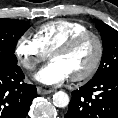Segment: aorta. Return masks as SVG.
<instances>
[{"label": "aorta", "instance_id": "762f6f07", "mask_svg": "<svg viewBox=\"0 0 118 118\" xmlns=\"http://www.w3.org/2000/svg\"><path fill=\"white\" fill-rule=\"evenodd\" d=\"M69 101L70 99H69L68 94L63 91H58L53 95V104L56 107L64 108L68 106Z\"/></svg>", "mask_w": 118, "mask_h": 118}]
</instances>
